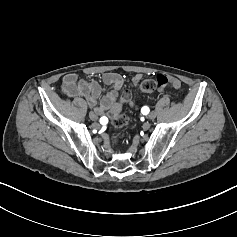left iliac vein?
Here are the masks:
<instances>
[{
  "instance_id": "left-iliac-vein-1",
  "label": "left iliac vein",
  "mask_w": 237,
  "mask_h": 237,
  "mask_svg": "<svg viewBox=\"0 0 237 237\" xmlns=\"http://www.w3.org/2000/svg\"><path fill=\"white\" fill-rule=\"evenodd\" d=\"M155 117H156L155 112H151V113L148 114V119H150V120L155 119Z\"/></svg>"
}]
</instances>
